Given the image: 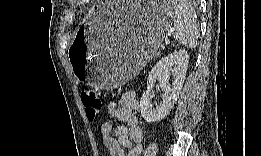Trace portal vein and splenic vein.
Returning <instances> with one entry per match:
<instances>
[{
    "label": "portal vein and splenic vein",
    "mask_w": 261,
    "mask_h": 156,
    "mask_svg": "<svg viewBox=\"0 0 261 156\" xmlns=\"http://www.w3.org/2000/svg\"><path fill=\"white\" fill-rule=\"evenodd\" d=\"M165 43L169 44L170 43L169 39H165Z\"/></svg>",
    "instance_id": "1"
}]
</instances>
